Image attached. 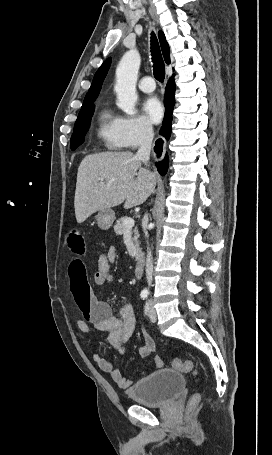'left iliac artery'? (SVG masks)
Here are the masks:
<instances>
[{
    "label": "left iliac artery",
    "mask_w": 272,
    "mask_h": 455,
    "mask_svg": "<svg viewBox=\"0 0 272 455\" xmlns=\"http://www.w3.org/2000/svg\"><path fill=\"white\" fill-rule=\"evenodd\" d=\"M149 307H148V303H146V307H145V312L147 313Z\"/></svg>",
    "instance_id": "obj_1"
}]
</instances>
